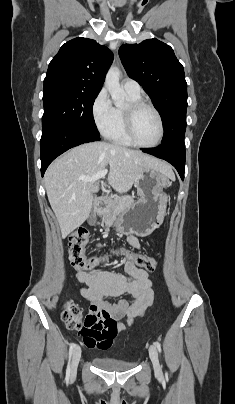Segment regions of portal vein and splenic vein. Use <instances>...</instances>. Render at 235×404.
<instances>
[{
    "label": "portal vein and splenic vein",
    "instance_id": "1",
    "mask_svg": "<svg viewBox=\"0 0 235 404\" xmlns=\"http://www.w3.org/2000/svg\"><path fill=\"white\" fill-rule=\"evenodd\" d=\"M108 173L107 169H104L100 172H98L96 175L92 176V177H81L80 179L85 181V182H95L103 177L106 176V174Z\"/></svg>",
    "mask_w": 235,
    "mask_h": 404
}]
</instances>
